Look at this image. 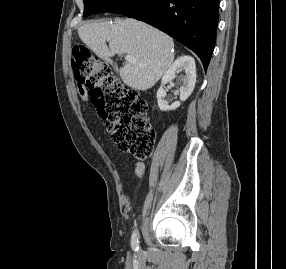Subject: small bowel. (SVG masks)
<instances>
[{
  "mask_svg": "<svg viewBox=\"0 0 286 269\" xmlns=\"http://www.w3.org/2000/svg\"><path fill=\"white\" fill-rule=\"evenodd\" d=\"M80 94L84 96V93L81 90H80ZM134 171L138 178H142L145 174V164L143 162L135 163Z\"/></svg>",
  "mask_w": 286,
  "mask_h": 269,
  "instance_id": "c3829d8e",
  "label": "small bowel"
}]
</instances>
